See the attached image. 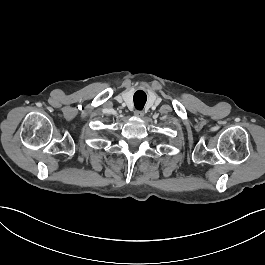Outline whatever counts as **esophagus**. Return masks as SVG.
<instances>
[{"label":"esophagus","instance_id":"1","mask_svg":"<svg viewBox=\"0 0 265 265\" xmlns=\"http://www.w3.org/2000/svg\"><path fill=\"white\" fill-rule=\"evenodd\" d=\"M144 115L143 111H135V116L142 117Z\"/></svg>","mask_w":265,"mask_h":265}]
</instances>
